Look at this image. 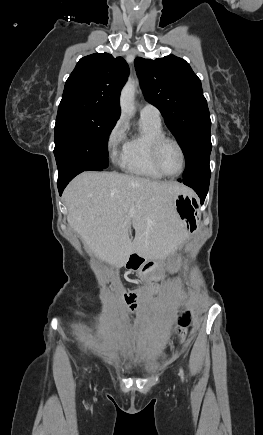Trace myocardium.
<instances>
[{"label":"myocardium","instance_id":"1","mask_svg":"<svg viewBox=\"0 0 263 435\" xmlns=\"http://www.w3.org/2000/svg\"><path fill=\"white\" fill-rule=\"evenodd\" d=\"M167 142H171V143L175 144L177 146V148L179 149L180 154H181L182 167H181V170L176 174L167 173L163 169V167L160 163V151H161L162 146ZM151 160H152V163H153L154 167L156 168V170L165 177H178L185 171V168H186V153H185V150H184L182 144L177 139L170 137V136H166V135H163V136L157 138L153 142L152 147H151Z\"/></svg>","mask_w":263,"mask_h":435}]
</instances>
